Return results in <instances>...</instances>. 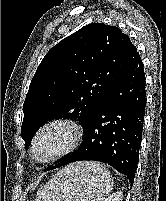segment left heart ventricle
<instances>
[{
    "mask_svg": "<svg viewBox=\"0 0 166 201\" xmlns=\"http://www.w3.org/2000/svg\"><path fill=\"white\" fill-rule=\"evenodd\" d=\"M69 140V133L63 127H53L40 138L36 154L39 158L45 157L63 149Z\"/></svg>",
    "mask_w": 166,
    "mask_h": 201,
    "instance_id": "left-heart-ventricle-1",
    "label": "left heart ventricle"
}]
</instances>
